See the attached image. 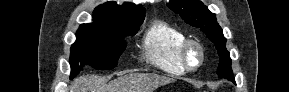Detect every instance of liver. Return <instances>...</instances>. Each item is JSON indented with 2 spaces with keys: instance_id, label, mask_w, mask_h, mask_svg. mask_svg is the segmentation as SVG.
Returning <instances> with one entry per match:
<instances>
[{
  "instance_id": "1",
  "label": "liver",
  "mask_w": 289,
  "mask_h": 92,
  "mask_svg": "<svg viewBox=\"0 0 289 92\" xmlns=\"http://www.w3.org/2000/svg\"><path fill=\"white\" fill-rule=\"evenodd\" d=\"M174 82L157 74L133 73L107 83L96 76L83 77L71 85V92H153L156 88Z\"/></svg>"
}]
</instances>
